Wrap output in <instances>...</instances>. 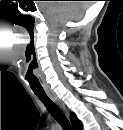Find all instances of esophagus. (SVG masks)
Returning a JSON list of instances; mask_svg holds the SVG:
<instances>
[{
    "label": "esophagus",
    "mask_w": 123,
    "mask_h": 130,
    "mask_svg": "<svg viewBox=\"0 0 123 130\" xmlns=\"http://www.w3.org/2000/svg\"><path fill=\"white\" fill-rule=\"evenodd\" d=\"M48 95L50 96V98L55 101L58 105H60L61 107L64 108V105L62 104V102L52 93H48Z\"/></svg>",
    "instance_id": "1"
}]
</instances>
